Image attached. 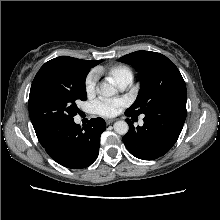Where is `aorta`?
<instances>
[{"label": "aorta", "instance_id": "aorta-1", "mask_svg": "<svg viewBox=\"0 0 220 220\" xmlns=\"http://www.w3.org/2000/svg\"><path fill=\"white\" fill-rule=\"evenodd\" d=\"M99 93L104 97H111L117 93V90L114 88L113 85L104 82L100 85ZM128 130H129V126L127 122L117 121L114 123V131L117 134L125 135L127 134Z\"/></svg>", "mask_w": 220, "mask_h": 220}]
</instances>
